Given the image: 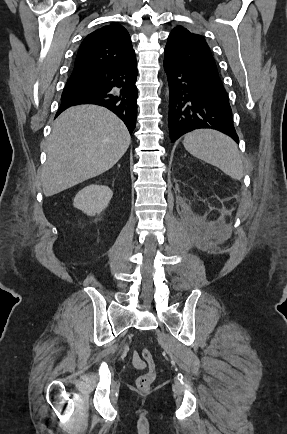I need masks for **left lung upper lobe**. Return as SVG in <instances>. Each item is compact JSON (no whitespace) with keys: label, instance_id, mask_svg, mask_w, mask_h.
Returning a JSON list of instances; mask_svg holds the SVG:
<instances>
[{"label":"left lung upper lobe","instance_id":"1","mask_svg":"<svg viewBox=\"0 0 287 434\" xmlns=\"http://www.w3.org/2000/svg\"><path fill=\"white\" fill-rule=\"evenodd\" d=\"M165 56L203 66L218 72L205 39L178 26L172 30L165 47Z\"/></svg>","mask_w":287,"mask_h":434}]
</instances>
